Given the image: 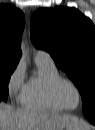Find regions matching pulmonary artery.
<instances>
[{
  "mask_svg": "<svg viewBox=\"0 0 95 130\" xmlns=\"http://www.w3.org/2000/svg\"><path fill=\"white\" fill-rule=\"evenodd\" d=\"M34 56L35 60L53 61L51 56L47 52L42 50H37Z\"/></svg>",
  "mask_w": 95,
  "mask_h": 130,
  "instance_id": "1",
  "label": "pulmonary artery"
}]
</instances>
